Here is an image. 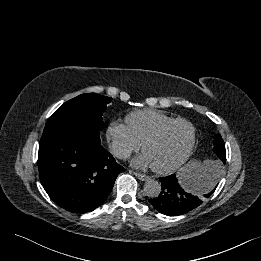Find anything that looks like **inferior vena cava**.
I'll return each mask as SVG.
<instances>
[{"instance_id": "602c4592", "label": "inferior vena cava", "mask_w": 261, "mask_h": 261, "mask_svg": "<svg viewBox=\"0 0 261 261\" xmlns=\"http://www.w3.org/2000/svg\"><path fill=\"white\" fill-rule=\"evenodd\" d=\"M114 155L118 158L125 159L130 156V152L126 149H114Z\"/></svg>"}]
</instances>
